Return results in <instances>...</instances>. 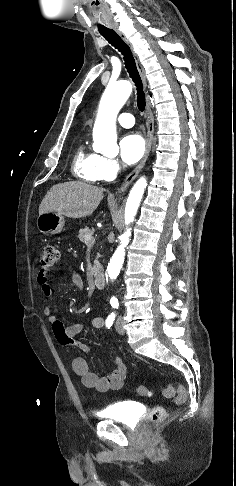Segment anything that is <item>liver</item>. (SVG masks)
Listing matches in <instances>:
<instances>
[{
	"label": "liver",
	"instance_id": "1",
	"mask_svg": "<svg viewBox=\"0 0 236 486\" xmlns=\"http://www.w3.org/2000/svg\"><path fill=\"white\" fill-rule=\"evenodd\" d=\"M104 189L83 182L54 185L39 206V215L55 212L69 218L91 215L103 198Z\"/></svg>",
	"mask_w": 236,
	"mask_h": 486
}]
</instances>
